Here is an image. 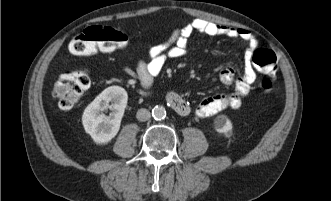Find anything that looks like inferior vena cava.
Returning a JSON list of instances; mask_svg holds the SVG:
<instances>
[{"instance_id": "obj_1", "label": "inferior vena cava", "mask_w": 331, "mask_h": 201, "mask_svg": "<svg viewBox=\"0 0 331 201\" xmlns=\"http://www.w3.org/2000/svg\"><path fill=\"white\" fill-rule=\"evenodd\" d=\"M136 117L139 121H147L151 118V113L145 108H141L137 111Z\"/></svg>"}]
</instances>
